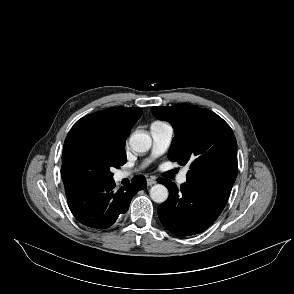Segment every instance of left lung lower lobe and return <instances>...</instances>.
I'll return each instance as SVG.
<instances>
[{
    "label": "left lung lower lobe",
    "mask_w": 294,
    "mask_h": 294,
    "mask_svg": "<svg viewBox=\"0 0 294 294\" xmlns=\"http://www.w3.org/2000/svg\"><path fill=\"white\" fill-rule=\"evenodd\" d=\"M232 173H212L187 178L180 189L168 179H158L169 198L158 208L161 223L173 234L189 236L210 227L223 211L235 181Z\"/></svg>",
    "instance_id": "0a47b994"
}]
</instances>
